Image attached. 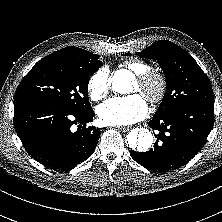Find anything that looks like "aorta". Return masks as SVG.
<instances>
[{
  "label": "aorta",
  "mask_w": 222,
  "mask_h": 222,
  "mask_svg": "<svg viewBox=\"0 0 222 222\" xmlns=\"http://www.w3.org/2000/svg\"><path fill=\"white\" fill-rule=\"evenodd\" d=\"M134 79L133 74L128 70H118L110 77L112 89L120 94L130 92V83ZM153 134L146 128L134 129L127 135L129 147L138 152H145L153 144Z\"/></svg>",
  "instance_id": "aorta-1"
}]
</instances>
